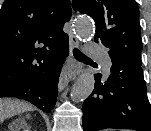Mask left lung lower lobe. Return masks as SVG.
<instances>
[{"label": "left lung lower lobe", "mask_w": 151, "mask_h": 131, "mask_svg": "<svg viewBox=\"0 0 151 131\" xmlns=\"http://www.w3.org/2000/svg\"><path fill=\"white\" fill-rule=\"evenodd\" d=\"M109 78L102 83L95 74V87L84 101V131L107 128L151 131V106L146 94L142 68L112 63Z\"/></svg>", "instance_id": "left-lung-lower-lobe-1"}]
</instances>
